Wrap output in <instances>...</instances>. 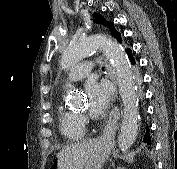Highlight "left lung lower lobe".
<instances>
[{
  "instance_id": "left-lung-lower-lobe-1",
  "label": "left lung lower lobe",
  "mask_w": 177,
  "mask_h": 169,
  "mask_svg": "<svg viewBox=\"0 0 177 169\" xmlns=\"http://www.w3.org/2000/svg\"><path fill=\"white\" fill-rule=\"evenodd\" d=\"M127 54L129 56V59L131 61V64H136L132 50L131 49H127ZM143 142L147 143L148 145L151 144V138H150V134H149V127L147 126V131L146 134L144 135L143 138Z\"/></svg>"
}]
</instances>
